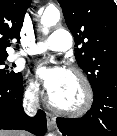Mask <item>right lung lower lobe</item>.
Segmentation results:
<instances>
[{
  "mask_svg": "<svg viewBox=\"0 0 117 136\" xmlns=\"http://www.w3.org/2000/svg\"><path fill=\"white\" fill-rule=\"evenodd\" d=\"M23 79L0 83V129L27 130L35 135H44L46 115L39 110L35 117H28L22 107Z\"/></svg>",
  "mask_w": 117,
  "mask_h": 136,
  "instance_id": "1",
  "label": "right lung lower lobe"
}]
</instances>
